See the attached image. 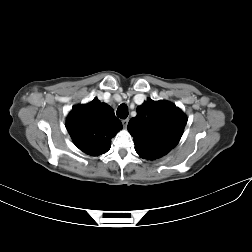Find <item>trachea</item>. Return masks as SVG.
<instances>
[{
	"label": "trachea",
	"mask_w": 252,
	"mask_h": 252,
	"mask_svg": "<svg viewBox=\"0 0 252 252\" xmlns=\"http://www.w3.org/2000/svg\"><path fill=\"white\" fill-rule=\"evenodd\" d=\"M120 119H126L128 117V107L126 104H121L116 112Z\"/></svg>",
	"instance_id": "1"
}]
</instances>
